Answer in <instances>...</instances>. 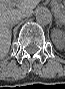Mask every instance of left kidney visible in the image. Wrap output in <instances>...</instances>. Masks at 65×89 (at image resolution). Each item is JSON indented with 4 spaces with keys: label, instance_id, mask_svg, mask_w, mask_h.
<instances>
[{
    "label": "left kidney",
    "instance_id": "5707ae66",
    "mask_svg": "<svg viewBox=\"0 0 65 89\" xmlns=\"http://www.w3.org/2000/svg\"><path fill=\"white\" fill-rule=\"evenodd\" d=\"M53 42L57 49L63 50L65 47V35L63 32L58 31V34L53 38Z\"/></svg>",
    "mask_w": 65,
    "mask_h": 89
}]
</instances>
